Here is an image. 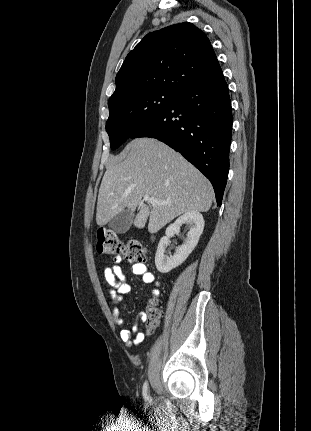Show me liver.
<instances>
[{
	"instance_id": "liver-1",
	"label": "liver",
	"mask_w": 311,
	"mask_h": 431,
	"mask_svg": "<svg viewBox=\"0 0 311 431\" xmlns=\"http://www.w3.org/2000/svg\"><path fill=\"white\" fill-rule=\"evenodd\" d=\"M123 162L108 166L97 198L96 223L106 225L119 212L138 214L135 227L156 233L174 217L197 210L208 212L213 202V188L203 174L172 148L153 140L136 138L122 152ZM143 196L167 206H148Z\"/></svg>"
}]
</instances>
